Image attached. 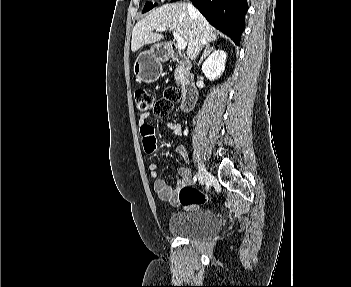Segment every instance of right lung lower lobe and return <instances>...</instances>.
Wrapping results in <instances>:
<instances>
[{
  "mask_svg": "<svg viewBox=\"0 0 351 287\" xmlns=\"http://www.w3.org/2000/svg\"><path fill=\"white\" fill-rule=\"evenodd\" d=\"M172 2L177 0H171ZM208 22L238 45L247 12L246 0H191Z\"/></svg>",
  "mask_w": 351,
  "mask_h": 287,
  "instance_id": "98d812e1",
  "label": "right lung lower lobe"
}]
</instances>
